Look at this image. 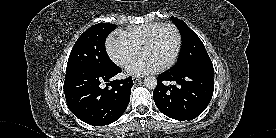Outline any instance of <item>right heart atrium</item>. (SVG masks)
Masks as SVG:
<instances>
[{"mask_svg":"<svg viewBox=\"0 0 276 138\" xmlns=\"http://www.w3.org/2000/svg\"><path fill=\"white\" fill-rule=\"evenodd\" d=\"M138 51L130 41L119 34L110 35L106 40V52L109 58L120 67H126Z\"/></svg>","mask_w":276,"mask_h":138,"instance_id":"right-heart-atrium-1","label":"right heart atrium"}]
</instances>
